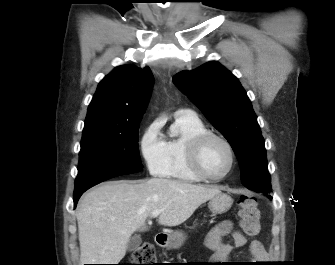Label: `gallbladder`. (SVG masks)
Returning a JSON list of instances; mask_svg holds the SVG:
<instances>
[{
    "label": "gallbladder",
    "mask_w": 335,
    "mask_h": 265,
    "mask_svg": "<svg viewBox=\"0 0 335 265\" xmlns=\"http://www.w3.org/2000/svg\"><path fill=\"white\" fill-rule=\"evenodd\" d=\"M141 243H142V239L140 235H135L130 238L128 245H127V250L129 252H132L136 250L141 245Z\"/></svg>",
    "instance_id": "bac80fb5"
}]
</instances>
